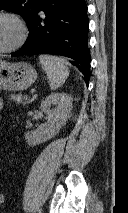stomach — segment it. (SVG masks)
I'll list each match as a JSON object with an SVG mask.
<instances>
[{"label":"stomach","instance_id":"stomach-1","mask_svg":"<svg viewBox=\"0 0 128 213\" xmlns=\"http://www.w3.org/2000/svg\"><path fill=\"white\" fill-rule=\"evenodd\" d=\"M36 78L37 72L29 63L0 60V90L22 91L30 87Z\"/></svg>","mask_w":128,"mask_h":213}]
</instances>
